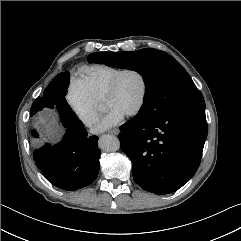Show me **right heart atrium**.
Segmentation results:
<instances>
[{
	"label": "right heart atrium",
	"mask_w": 241,
	"mask_h": 241,
	"mask_svg": "<svg viewBox=\"0 0 241 241\" xmlns=\"http://www.w3.org/2000/svg\"><path fill=\"white\" fill-rule=\"evenodd\" d=\"M65 99L75 117L82 124L92 127L98 121L100 116L98 101L79 79L71 80Z\"/></svg>",
	"instance_id": "d8ad5b80"
}]
</instances>
